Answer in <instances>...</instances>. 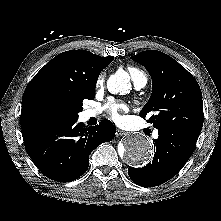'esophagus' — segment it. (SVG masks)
<instances>
[{"label":"esophagus","instance_id":"obj_1","mask_svg":"<svg viewBox=\"0 0 221 221\" xmlns=\"http://www.w3.org/2000/svg\"><path fill=\"white\" fill-rule=\"evenodd\" d=\"M125 134H126L125 131H122V130H120V129H116V136H117V137L123 136V135H125Z\"/></svg>","mask_w":221,"mask_h":221}]
</instances>
